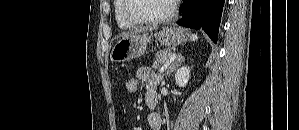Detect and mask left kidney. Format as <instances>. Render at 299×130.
Wrapping results in <instances>:
<instances>
[{
  "mask_svg": "<svg viewBox=\"0 0 299 130\" xmlns=\"http://www.w3.org/2000/svg\"><path fill=\"white\" fill-rule=\"evenodd\" d=\"M190 79V68L188 66H182L177 69L175 73V81L179 87H186Z\"/></svg>",
  "mask_w": 299,
  "mask_h": 130,
  "instance_id": "obj_1",
  "label": "left kidney"
}]
</instances>
